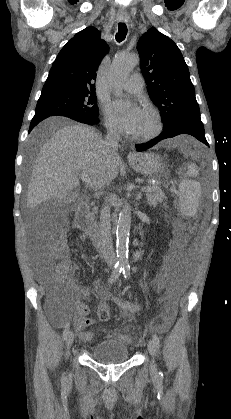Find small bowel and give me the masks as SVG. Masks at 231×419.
I'll use <instances>...</instances> for the list:
<instances>
[{"label":"small bowel","instance_id":"1","mask_svg":"<svg viewBox=\"0 0 231 419\" xmlns=\"http://www.w3.org/2000/svg\"><path fill=\"white\" fill-rule=\"evenodd\" d=\"M178 255H179L178 251H172L165 257V262H164L162 271L158 277V288L162 289L167 286V283H168L167 272L170 269L172 263L177 259ZM168 291H169V298L172 303L171 312H173L174 307L176 305L177 292H176L175 286L172 283L169 285ZM79 293L80 295H83V296L88 295V292L85 290H81L79 291ZM98 296L101 300V303L98 309L102 306H106L104 303L106 299H112L119 306L121 315L124 318H131L142 309V303L138 301L125 299L120 296H114L107 289H101L98 293ZM75 310L78 313V317L75 319V329L85 341H90L92 339L93 334L90 331H86V328L91 326L94 321L92 318L88 317L89 308L84 302L77 301L75 304Z\"/></svg>","mask_w":231,"mask_h":419}]
</instances>
